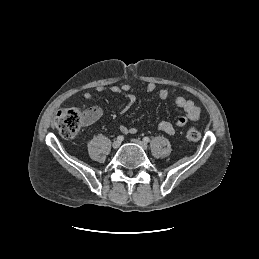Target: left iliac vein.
Returning a JSON list of instances; mask_svg holds the SVG:
<instances>
[{"label": "left iliac vein", "instance_id": "4c4485c4", "mask_svg": "<svg viewBox=\"0 0 259 259\" xmlns=\"http://www.w3.org/2000/svg\"><path fill=\"white\" fill-rule=\"evenodd\" d=\"M132 142L139 145L142 149H147V144L139 139H132Z\"/></svg>", "mask_w": 259, "mask_h": 259}]
</instances>
